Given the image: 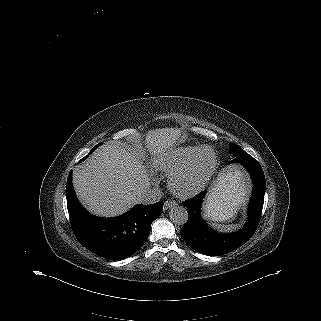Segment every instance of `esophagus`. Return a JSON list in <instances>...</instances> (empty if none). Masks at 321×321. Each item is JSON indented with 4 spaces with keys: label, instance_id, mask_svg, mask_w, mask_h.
Listing matches in <instances>:
<instances>
[{
    "label": "esophagus",
    "instance_id": "34e87169",
    "mask_svg": "<svg viewBox=\"0 0 321 321\" xmlns=\"http://www.w3.org/2000/svg\"><path fill=\"white\" fill-rule=\"evenodd\" d=\"M177 205V202L175 200H167L165 203H164V208L165 209H170L174 206Z\"/></svg>",
    "mask_w": 321,
    "mask_h": 321
}]
</instances>
